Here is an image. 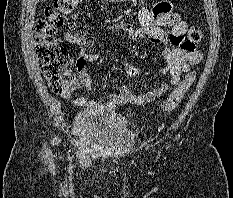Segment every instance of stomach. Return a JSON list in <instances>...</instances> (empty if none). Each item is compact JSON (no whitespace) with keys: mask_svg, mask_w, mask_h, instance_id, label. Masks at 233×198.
<instances>
[{"mask_svg":"<svg viewBox=\"0 0 233 198\" xmlns=\"http://www.w3.org/2000/svg\"><path fill=\"white\" fill-rule=\"evenodd\" d=\"M109 1H112V2H123V1H126V0H109Z\"/></svg>","mask_w":233,"mask_h":198,"instance_id":"obj_1","label":"stomach"}]
</instances>
